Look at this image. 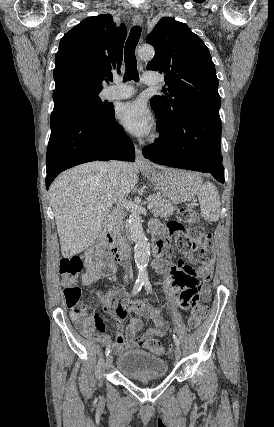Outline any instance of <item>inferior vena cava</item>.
<instances>
[{"instance_id":"602c4592","label":"inferior vena cava","mask_w":274,"mask_h":427,"mask_svg":"<svg viewBox=\"0 0 274 427\" xmlns=\"http://www.w3.org/2000/svg\"><path fill=\"white\" fill-rule=\"evenodd\" d=\"M109 168H110V170H113V172H120V170H122L123 166H121V164H119V162H109ZM119 196H120V198H119L117 204H119V206H122V204L125 200V196H122V192H121V194H119ZM124 245H125V249H127V251H130V241H129L128 233H125ZM126 259H130V257H126Z\"/></svg>"}]
</instances>
